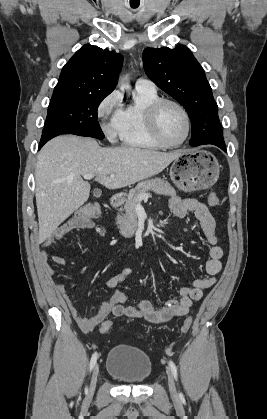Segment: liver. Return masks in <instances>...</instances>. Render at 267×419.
Masks as SVG:
<instances>
[{"instance_id": "6515ba94", "label": "liver", "mask_w": 267, "mask_h": 419, "mask_svg": "<svg viewBox=\"0 0 267 419\" xmlns=\"http://www.w3.org/2000/svg\"><path fill=\"white\" fill-rule=\"evenodd\" d=\"M183 153L101 147L72 135L53 138L38 153L35 169L39 243L88 200L90 184L81 176L93 174L108 189L123 188L160 173Z\"/></svg>"}]
</instances>
